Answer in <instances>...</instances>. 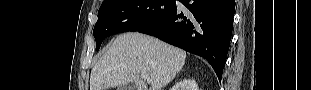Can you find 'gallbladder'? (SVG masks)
Wrapping results in <instances>:
<instances>
[{
	"label": "gallbladder",
	"mask_w": 311,
	"mask_h": 90,
	"mask_svg": "<svg viewBox=\"0 0 311 90\" xmlns=\"http://www.w3.org/2000/svg\"><path fill=\"white\" fill-rule=\"evenodd\" d=\"M135 86L132 84H125L118 86L117 90H134Z\"/></svg>",
	"instance_id": "obj_1"
}]
</instances>
